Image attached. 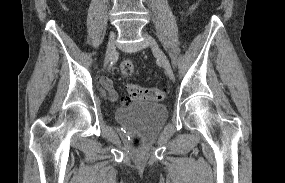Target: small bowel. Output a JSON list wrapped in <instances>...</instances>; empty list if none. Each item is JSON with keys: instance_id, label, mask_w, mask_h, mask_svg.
I'll list each match as a JSON object with an SVG mask.
<instances>
[{"instance_id": "small-bowel-1", "label": "small bowel", "mask_w": 285, "mask_h": 183, "mask_svg": "<svg viewBox=\"0 0 285 183\" xmlns=\"http://www.w3.org/2000/svg\"><path fill=\"white\" fill-rule=\"evenodd\" d=\"M101 83H102V86H103V89L101 90V93L105 94V92H107L110 95V97L115 100L117 98V94H116V92H115V90L113 88L112 82L108 78H102Z\"/></svg>"}]
</instances>
